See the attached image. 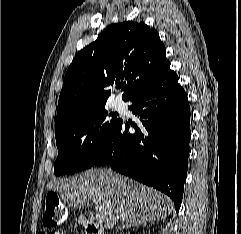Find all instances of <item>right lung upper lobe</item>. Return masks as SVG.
I'll return each instance as SVG.
<instances>
[{
    "mask_svg": "<svg viewBox=\"0 0 241 234\" xmlns=\"http://www.w3.org/2000/svg\"><path fill=\"white\" fill-rule=\"evenodd\" d=\"M169 63L159 34L143 21L109 25L69 66L60 93L55 131L104 107L107 87L124 81V101L157 77Z\"/></svg>",
    "mask_w": 241,
    "mask_h": 234,
    "instance_id": "right-lung-upper-lobe-1",
    "label": "right lung upper lobe"
}]
</instances>
